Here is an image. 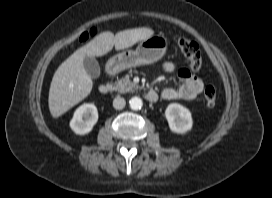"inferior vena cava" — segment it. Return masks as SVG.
Segmentation results:
<instances>
[{"mask_svg":"<svg viewBox=\"0 0 272 198\" xmlns=\"http://www.w3.org/2000/svg\"><path fill=\"white\" fill-rule=\"evenodd\" d=\"M126 105V101L124 98L122 97H116L114 100H113V107L117 110H121L125 107Z\"/></svg>","mask_w":272,"mask_h":198,"instance_id":"602c4592","label":"inferior vena cava"}]
</instances>
